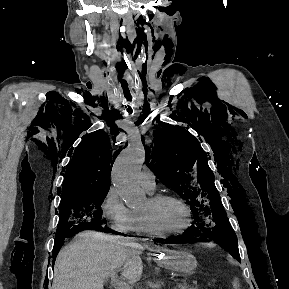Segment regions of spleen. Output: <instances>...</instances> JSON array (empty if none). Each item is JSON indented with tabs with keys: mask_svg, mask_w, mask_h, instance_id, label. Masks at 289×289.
I'll return each instance as SVG.
<instances>
[{
	"mask_svg": "<svg viewBox=\"0 0 289 289\" xmlns=\"http://www.w3.org/2000/svg\"><path fill=\"white\" fill-rule=\"evenodd\" d=\"M233 287H234V289H240L239 287H240V284H239V281H238V279L236 278L235 280H234V282H233Z\"/></svg>",
	"mask_w": 289,
	"mask_h": 289,
	"instance_id": "obj_1",
	"label": "spleen"
}]
</instances>
